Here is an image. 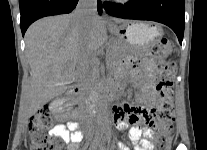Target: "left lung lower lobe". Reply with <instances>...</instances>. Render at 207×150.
I'll list each match as a JSON object with an SVG mask.
<instances>
[{
  "label": "left lung lower lobe",
  "instance_id": "0a47b994",
  "mask_svg": "<svg viewBox=\"0 0 207 150\" xmlns=\"http://www.w3.org/2000/svg\"><path fill=\"white\" fill-rule=\"evenodd\" d=\"M104 9L115 17L151 20L169 26L182 44L184 34V0H132L126 4L105 2Z\"/></svg>",
  "mask_w": 207,
  "mask_h": 150
}]
</instances>
